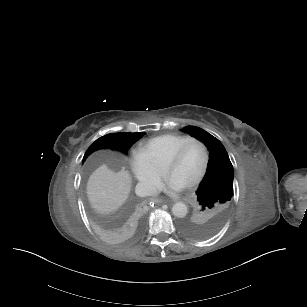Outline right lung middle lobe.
I'll list each match as a JSON object with an SVG mask.
<instances>
[{
	"instance_id": "dd1d6c3e",
	"label": "right lung middle lobe",
	"mask_w": 307,
	"mask_h": 307,
	"mask_svg": "<svg viewBox=\"0 0 307 307\" xmlns=\"http://www.w3.org/2000/svg\"><path fill=\"white\" fill-rule=\"evenodd\" d=\"M143 133H111L97 139L86 151L83 161L93 151L103 148L115 149L127 154L128 149L139 139Z\"/></svg>"
}]
</instances>
